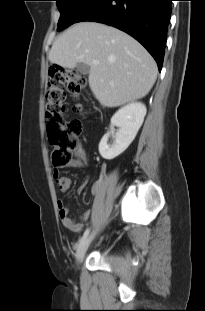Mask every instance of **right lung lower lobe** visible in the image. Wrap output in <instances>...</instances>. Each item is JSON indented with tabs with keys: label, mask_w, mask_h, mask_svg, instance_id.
Masks as SVG:
<instances>
[{
	"label": "right lung lower lobe",
	"mask_w": 205,
	"mask_h": 311,
	"mask_svg": "<svg viewBox=\"0 0 205 311\" xmlns=\"http://www.w3.org/2000/svg\"><path fill=\"white\" fill-rule=\"evenodd\" d=\"M172 0H95L75 22L114 26L138 40L162 68Z\"/></svg>",
	"instance_id": "98d812e1"
}]
</instances>
